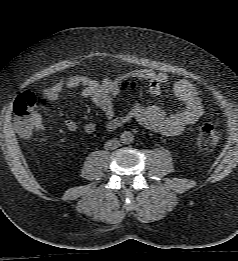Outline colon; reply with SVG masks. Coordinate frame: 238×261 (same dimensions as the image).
<instances>
[{"instance_id":"colon-1","label":"colon","mask_w":238,"mask_h":261,"mask_svg":"<svg viewBox=\"0 0 238 261\" xmlns=\"http://www.w3.org/2000/svg\"><path fill=\"white\" fill-rule=\"evenodd\" d=\"M129 83L123 85L126 88ZM44 102L38 99L33 93L26 92L20 95L14 104L15 128L22 137H29L41 126L40 106ZM220 131L212 124L200 127L197 134V144L203 149L214 147L220 140Z\"/></svg>"}]
</instances>
